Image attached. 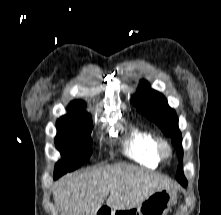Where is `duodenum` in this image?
Returning a JSON list of instances; mask_svg holds the SVG:
<instances>
[{"label":"duodenum","mask_w":221,"mask_h":215,"mask_svg":"<svg viewBox=\"0 0 221 215\" xmlns=\"http://www.w3.org/2000/svg\"><path fill=\"white\" fill-rule=\"evenodd\" d=\"M106 214H107L106 212L100 213V215H106Z\"/></svg>","instance_id":"410a0bca"}]
</instances>
